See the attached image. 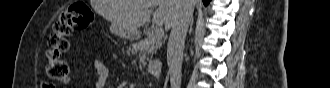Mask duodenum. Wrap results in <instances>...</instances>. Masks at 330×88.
<instances>
[{"instance_id": "duodenum-1", "label": "duodenum", "mask_w": 330, "mask_h": 88, "mask_svg": "<svg viewBox=\"0 0 330 88\" xmlns=\"http://www.w3.org/2000/svg\"><path fill=\"white\" fill-rule=\"evenodd\" d=\"M137 37V35H136ZM148 71L153 76H159L162 72V64L159 62H151L148 65Z\"/></svg>"}]
</instances>
